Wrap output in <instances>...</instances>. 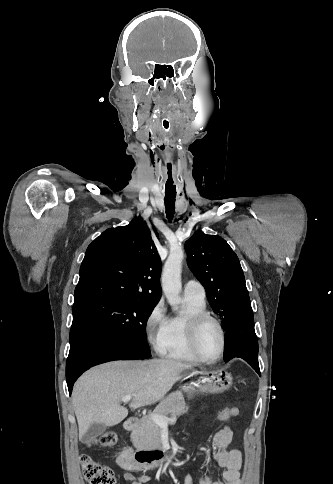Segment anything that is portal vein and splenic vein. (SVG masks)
I'll return each instance as SVG.
<instances>
[{"label":"portal vein and splenic vein","instance_id":"1","mask_svg":"<svg viewBox=\"0 0 333 484\" xmlns=\"http://www.w3.org/2000/svg\"><path fill=\"white\" fill-rule=\"evenodd\" d=\"M132 398H133V395H126L121 399V401L128 402ZM150 418L159 426H167L169 423H172L177 420L176 417L168 418L166 416L159 415V414H151Z\"/></svg>","mask_w":333,"mask_h":484}]
</instances>
